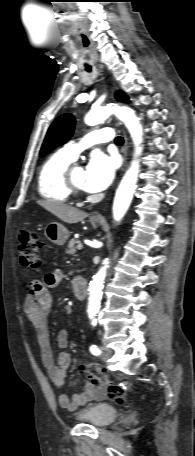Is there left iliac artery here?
<instances>
[{"label": "left iliac artery", "mask_w": 195, "mask_h": 456, "mask_svg": "<svg viewBox=\"0 0 195 456\" xmlns=\"http://www.w3.org/2000/svg\"><path fill=\"white\" fill-rule=\"evenodd\" d=\"M93 324H94V322H93ZM90 352L95 356H98L101 354L100 349L96 345L90 346Z\"/></svg>", "instance_id": "obj_1"}]
</instances>
